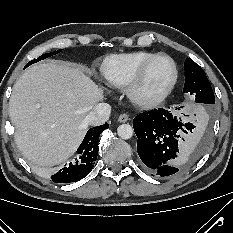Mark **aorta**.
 I'll use <instances>...</instances> for the list:
<instances>
[{
	"mask_svg": "<svg viewBox=\"0 0 233 233\" xmlns=\"http://www.w3.org/2000/svg\"><path fill=\"white\" fill-rule=\"evenodd\" d=\"M118 136L122 139H130L133 136L134 130L129 124H122L117 129Z\"/></svg>",
	"mask_w": 233,
	"mask_h": 233,
	"instance_id": "obj_1",
	"label": "aorta"
}]
</instances>
